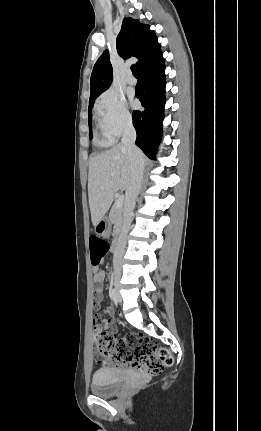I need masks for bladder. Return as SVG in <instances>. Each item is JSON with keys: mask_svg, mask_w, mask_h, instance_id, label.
<instances>
[{"mask_svg": "<svg viewBox=\"0 0 261 431\" xmlns=\"http://www.w3.org/2000/svg\"><path fill=\"white\" fill-rule=\"evenodd\" d=\"M124 373L110 368L99 369L92 375L90 389L100 397H109L117 394L124 385Z\"/></svg>", "mask_w": 261, "mask_h": 431, "instance_id": "bladder-1", "label": "bladder"}]
</instances>
